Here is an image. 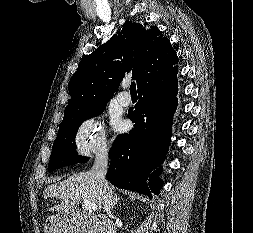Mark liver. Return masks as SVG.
Returning a JSON list of instances; mask_svg holds the SVG:
<instances>
[{"label": "liver", "instance_id": "obj_1", "mask_svg": "<svg viewBox=\"0 0 253 233\" xmlns=\"http://www.w3.org/2000/svg\"><path fill=\"white\" fill-rule=\"evenodd\" d=\"M109 187L111 190L114 188ZM43 195L44 198L61 200L59 205L49 209L50 211L60 212V214L74 212L75 206L83 200L95 203L98 209L103 207L101 187L91 171L80 172L58 184H52L44 190Z\"/></svg>", "mask_w": 253, "mask_h": 233}]
</instances>
